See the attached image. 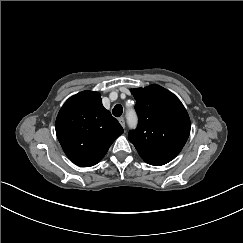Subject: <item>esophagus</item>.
Masks as SVG:
<instances>
[{
    "instance_id": "esophagus-1",
    "label": "esophagus",
    "mask_w": 243,
    "mask_h": 243,
    "mask_svg": "<svg viewBox=\"0 0 243 243\" xmlns=\"http://www.w3.org/2000/svg\"><path fill=\"white\" fill-rule=\"evenodd\" d=\"M118 121H119V123L121 124V126L124 128V127H125V120H124V118H123V117H120V118L118 119Z\"/></svg>"
}]
</instances>
